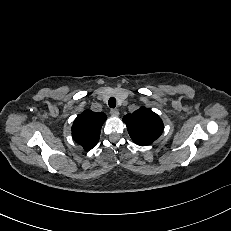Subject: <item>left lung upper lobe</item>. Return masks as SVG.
I'll use <instances>...</instances> for the list:
<instances>
[{"mask_svg": "<svg viewBox=\"0 0 231 231\" xmlns=\"http://www.w3.org/2000/svg\"><path fill=\"white\" fill-rule=\"evenodd\" d=\"M133 142L145 146L153 143L163 131V122L152 110L141 107L123 117Z\"/></svg>", "mask_w": 231, "mask_h": 231, "instance_id": "5c2ea615", "label": "left lung upper lobe"}]
</instances>
